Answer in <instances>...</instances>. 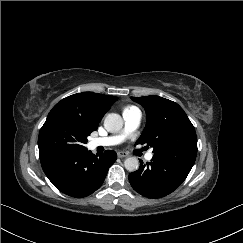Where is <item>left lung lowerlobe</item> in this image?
Wrapping results in <instances>:
<instances>
[{
    "instance_id": "0a47b994",
    "label": "left lung lower lobe",
    "mask_w": 243,
    "mask_h": 243,
    "mask_svg": "<svg viewBox=\"0 0 243 243\" xmlns=\"http://www.w3.org/2000/svg\"><path fill=\"white\" fill-rule=\"evenodd\" d=\"M197 154V145H182L154 153L150 163L129 174L131 186L141 195L161 198L173 192L189 174Z\"/></svg>"
}]
</instances>
